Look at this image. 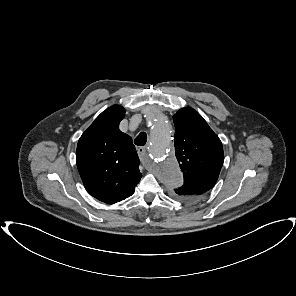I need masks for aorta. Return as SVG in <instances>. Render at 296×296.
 Returning <instances> with one entry per match:
<instances>
[{
    "instance_id": "obj_1",
    "label": "aorta",
    "mask_w": 296,
    "mask_h": 296,
    "mask_svg": "<svg viewBox=\"0 0 296 296\" xmlns=\"http://www.w3.org/2000/svg\"><path fill=\"white\" fill-rule=\"evenodd\" d=\"M151 135L149 138L150 152L155 163V173L160 181L168 187L180 186L183 177L175 158L172 137L173 123L159 110H152Z\"/></svg>"
}]
</instances>
